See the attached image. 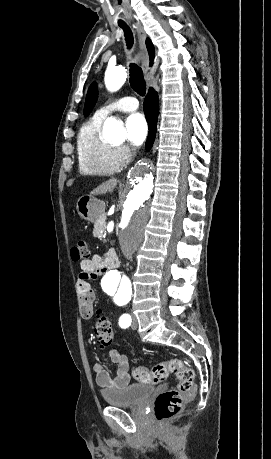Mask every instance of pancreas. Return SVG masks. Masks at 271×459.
<instances>
[{
  "instance_id": "obj_1",
  "label": "pancreas",
  "mask_w": 271,
  "mask_h": 459,
  "mask_svg": "<svg viewBox=\"0 0 271 459\" xmlns=\"http://www.w3.org/2000/svg\"><path fill=\"white\" fill-rule=\"evenodd\" d=\"M98 225L100 226H97V224H95V230H94V233H95V237L97 239H102L104 237V233H105V230L103 228V226L105 225V222L103 220H100L98 222Z\"/></svg>"
}]
</instances>
